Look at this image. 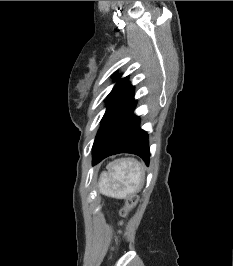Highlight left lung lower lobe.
Instances as JSON below:
<instances>
[{
    "label": "left lung lower lobe",
    "mask_w": 233,
    "mask_h": 266,
    "mask_svg": "<svg viewBox=\"0 0 233 266\" xmlns=\"http://www.w3.org/2000/svg\"><path fill=\"white\" fill-rule=\"evenodd\" d=\"M136 103L130 85L108 105L93 145V164L117 153H132L149 165L148 135L133 114Z\"/></svg>",
    "instance_id": "left-lung-lower-lobe-1"
}]
</instances>
